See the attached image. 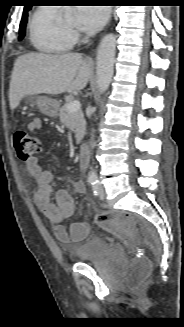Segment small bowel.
<instances>
[{"label":"small bowel","mask_w":184,"mask_h":327,"mask_svg":"<svg viewBox=\"0 0 184 327\" xmlns=\"http://www.w3.org/2000/svg\"><path fill=\"white\" fill-rule=\"evenodd\" d=\"M41 127L42 119L40 117H34L27 124V129L31 133H37ZM26 167L37 185L33 194V201L52 223L56 238L63 242L78 241L85 238L89 231L88 223L74 222L68 228L60 224L73 214L75 205L70 194L64 189L57 190L54 194V201H52L51 195L57 181L55 175L51 171L43 169L35 158L28 161ZM75 188L77 192L82 193L85 190V185L83 182H77Z\"/></svg>","instance_id":"small-bowel-1"}]
</instances>
